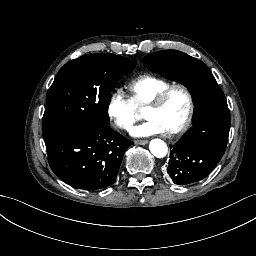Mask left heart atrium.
Returning a JSON list of instances; mask_svg holds the SVG:
<instances>
[{
    "instance_id": "left-heart-atrium-1",
    "label": "left heart atrium",
    "mask_w": 256,
    "mask_h": 256,
    "mask_svg": "<svg viewBox=\"0 0 256 256\" xmlns=\"http://www.w3.org/2000/svg\"><path fill=\"white\" fill-rule=\"evenodd\" d=\"M142 129L149 134H167L170 132L168 123L158 116H152L143 123Z\"/></svg>"
}]
</instances>
